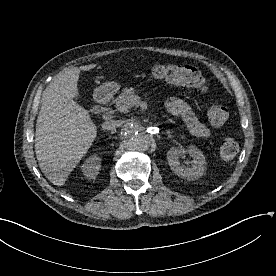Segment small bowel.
<instances>
[{"label":"small bowel","instance_id":"obj_1","mask_svg":"<svg viewBox=\"0 0 276 276\" xmlns=\"http://www.w3.org/2000/svg\"><path fill=\"white\" fill-rule=\"evenodd\" d=\"M166 106L171 114L185 123L187 129L193 135L198 137L209 136V128L197 118L191 107L183 99L171 97L167 100Z\"/></svg>","mask_w":276,"mask_h":276}]
</instances>
